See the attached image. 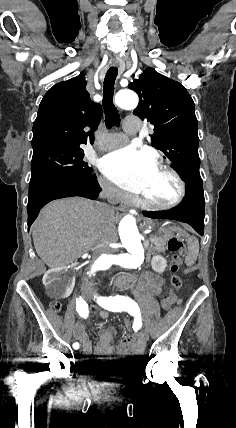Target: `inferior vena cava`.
Wrapping results in <instances>:
<instances>
[{
	"label": "inferior vena cava",
	"mask_w": 236,
	"mask_h": 428,
	"mask_svg": "<svg viewBox=\"0 0 236 428\" xmlns=\"http://www.w3.org/2000/svg\"><path fill=\"white\" fill-rule=\"evenodd\" d=\"M100 184L102 186L103 192L100 194V198H104V200H107L109 204H100L102 214L106 216V224H111L114 218V212H113V206H110V204H114V194L116 192V188L110 184V182H106V180H100ZM94 242V251L92 255V262L96 260L97 257H100L103 254V250L106 249H100L99 242L102 240V237L99 234H96L93 237ZM96 287L99 285L97 282L94 284ZM96 287H93V290H96ZM90 290V291H89ZM92 290V287H89V289L86 286L82 287V295L83 296H91L96 295V292Z\"/></svg>",
	"instance_id": "602c4592"
}]
</instances>
